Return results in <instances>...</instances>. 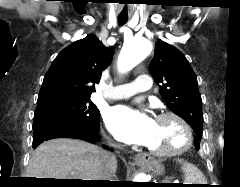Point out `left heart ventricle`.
Listing matches in <instances>:
<instances>
[{
	"instance_id": "obj_1",
	"label": "left heart ventricle",
	"mask_w": 240,
	"mask_h": 187,
	"mask_svg": "<svg viewBox=\"0 0 240 187\" xmlns=\"http://www.w3.org/2000/svg\"><path fill=\"white\" fill-rule=\"evenodd\" d=\"M156 131L148 148L164 150L176 147L182 142V133L173 119L166 118L156 121Z\"/></svg>"
}]
</instances>
